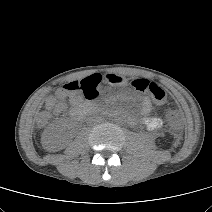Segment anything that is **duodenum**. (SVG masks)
Wrapping results in <instances>:
<instances>
[{
	"mask_svg": "<svg viewBox=\"0 0 212 212\" xmlns=\"http://www.w3.org/2000/svg\"><path fill=\"white\" fill-rule=\"evenodd\" d=\"M94 108H95V105L90 102L76 104L74 105V108L72 110V116L75 119L79 120L83 118L88 112H90Z\"/></svg>",
	"mask_w": 212,
	"mask_h": 212,
	"instance_id": "410a0bca",
	"label": "duodenum"
}]
</instances>
